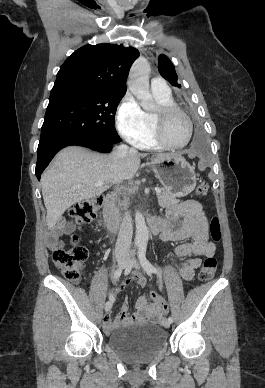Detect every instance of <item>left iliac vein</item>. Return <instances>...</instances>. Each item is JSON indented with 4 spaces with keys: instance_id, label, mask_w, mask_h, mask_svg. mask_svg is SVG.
Here are the masks:
<instances>
[{
    "instance_id": "4c4485c4",
    "label": "left iliac vein",
    "mask_w": 265,
    "mask_h": 388,
    "mask_svg": "<svg viewBox=\"0 0 265 388\" xmlns=\"http://www.w3.org/2000/svg\"><path fill=\"white\" fill-rule=\"evenodd\" d=\"M128 268H136V269H140V264L135 260V259H131L127 262V265H126ZM163 326L165 328H169L170 325H171V322L164 318L163 319V322H162Z\"/></svg>"
}]
</instances>
